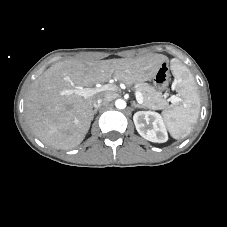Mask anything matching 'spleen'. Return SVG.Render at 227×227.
Returning a JSON list of instances; mask_svg holds the SVG:
<instances>
[{"label":"spleen","instance_id":"3e777b00","mask_svg":"<svg viewBox=\"0 0 227 227\" xmlns=\"http://www.w3.org/2000/svg\"><path fill=\"white\" fill-rule=\"evenodd\" d=\"M180 102L163 112L166 126L174 139L189 135L200 112V97L195 81L187 67L177 61L172 64Z\"/></svg>","mask_w":227,"mask_h":227}]
</instances>
